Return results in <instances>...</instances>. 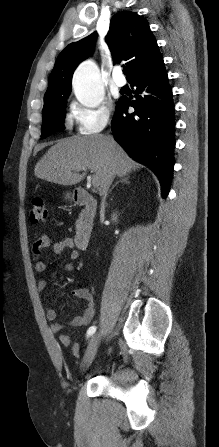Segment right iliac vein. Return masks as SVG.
I'll use <instances>...</instances> for the list:
<instances>
[{
    "label": "right iliac vein",
    "mask_w": 219,
    "mask_h": 447,
    "mask_svg": "<svg viewBox=\"0 0 219 447\" xmlns=\"http://www.w3.org/2000/svg\"><path fill=\"white\" fill-rule=\"evenodd\" d=\"M101 332H98L96 334H94L87 346L86 352L84 354L81 366H80V371L83 373L87 370V368L90 366V364L92 363L96 353H97V349L100 345L101 342Z\"/></svg>",
    "instance_id": "obj_1"
}]
</instances>
